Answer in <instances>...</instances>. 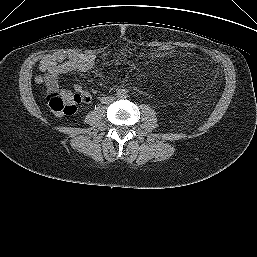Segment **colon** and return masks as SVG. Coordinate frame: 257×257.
Wrapping results in <instances>:
<instances>
[{
    "instance_id": "1",
    "label": "colon",
    "mask_w": 257,
    "mask_h": 257,
    "mask_svg": "<svg viewBox=\"0 0 257 257\" xmlns=\"http://www.w3.org/2000/svg\"><path fill=\"white\" fill-rule=\"evenodd\" d=\"M158 51L162 55H167L172 48L169 45H161ZM46 99L49 108L58 115H72L77 111L78 106L86 101L82 94L67 90L49 91Z\"/></svg>"
}]
</instances>
